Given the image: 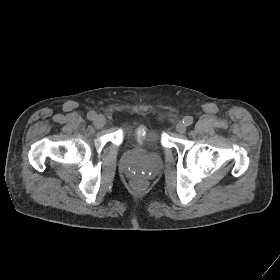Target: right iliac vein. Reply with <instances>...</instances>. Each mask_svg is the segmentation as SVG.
<instances>
[{
    "label": "right iliac vein",
    "mask_w": 280,
    "mask_h": 280,
    "mask_svg": "<svg viewBox=\"0 0 280 280\" xmlns=\"http://www.w3.org/2000/svg\"><path fill=\"white\" fill-rule=\"evenodd\" d=\"M106 124V118L103 115H98L94 120V126L97 128H102Z\"/></svg>",
    "instance_id": "63e3f726"
}]
</instances>
